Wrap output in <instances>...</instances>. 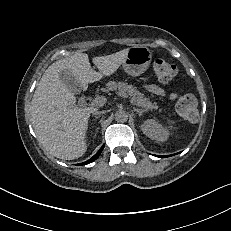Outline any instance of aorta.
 Returning a JSON list of instances; mask_svg holds the SVG:
<instances>
[{"instance_id":"762f6f07","label":"aorta","mask_w":231,"mask_h":231,"mask_svg":"<svg viewBox=\"0 0 231 231\" xmlns=\"http://www.w3.org/2000/svg\"><path fill=\"white\" fill-rule=\"evenodd\" d=\"M115 120L119 123H124L128 120V113L124 110H119L115 113Z\"/></svg>"}]
</instances>
